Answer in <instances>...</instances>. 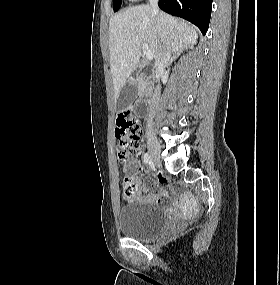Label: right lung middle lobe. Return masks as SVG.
<instances>
[{
	"mask_svg": "<svg viewBox=\"0 0 280 285\" xmlns=\"http://www.w3.org/2000/svg\"><path fill=\"white\" fill-rule=\"evenodd\" d=\"M122 0H113L114 12L118 11L121 7Z\"/></svg>",
	"mask_w": 280,
	"mask_h": 285,
	"instance_id": "dd1d6c3e",
	"label": "right lung middle lobe"
}]
</instances>
